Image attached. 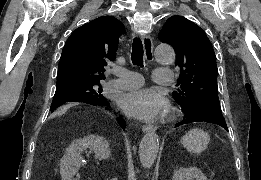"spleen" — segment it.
<instances>
[{
    "label": "spleen",
    "instance_id": "3e777b00",
    "mask_svg": "<svg viewBox=\"0 0 261 180\" xmlns=\"http://www.w3.org/2000/svg\"><path fill=\"white\" fill-rule=\"evenodd\" d=\"M210 142V136L203 130H190L186 136L182 138V144L190 154H201L206 150Z\"/></svg>",
    "mask_w": 261,
    "mask_h": 180
}]
</instances>
